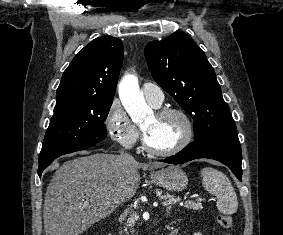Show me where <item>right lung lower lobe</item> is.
Instances as JSON below:
<instances>
[{"instance_id": "98d812e1", "label": "right lung lower lobe", "mask_w": 283, "mask_h": 235, "mask_svg": "<svg viewBox=\"0 0 283 235\" xmlns=\"http://www.w3.org/2000/svg\"><path fill=\"white\" fill-rule=\"evenodd\" d=\"M103 138L100 139H94L91 141H86V142H78L75 144H72L70 146H67L65 148H62L58 151H56L55 153H53L52 155H50L49 157H47L46 159H44L43 161L39 162V169H38V175L41 177V174L43 172V170L48 167L50 165V163L57 157L64 155V154H68V153H72L75 151H81L84 150L90 146H93L94 144H96L98 141L102 140Z\"/></svg>"}]
</instances>
